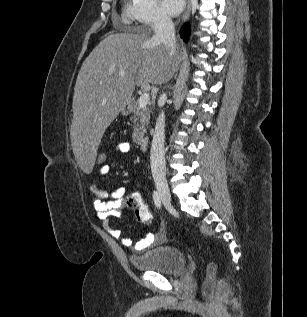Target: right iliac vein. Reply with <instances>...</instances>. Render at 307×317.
<instances>
[{
  "label": "right iliac vein",
  "instance_id": "1",
  "mask_svg": "<svg viewBox=\"0 0 307 317\" xmlns=\"http://www.w3.org/2000/svg\"><path fill=\"white\" fill-rule=\"evenodd\" d=\"M154 182L161 200L166 205H169L171 201V194L166 178L164 176H154Z\"/></svg>",
  "mask_w": 307,
  "mask_h": 317
}]
</instances>
